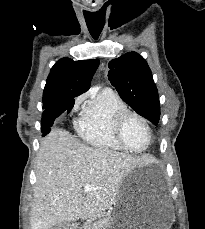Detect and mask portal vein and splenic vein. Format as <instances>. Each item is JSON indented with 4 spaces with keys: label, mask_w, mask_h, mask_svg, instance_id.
<instances>
[{
    "label": "portal vein and splenic vein",
    "mask_w": 205,
    "mask_h": 229,
    "mask_svg": "<svg viewBox=\"0 0 205 229\" xmlns=\"http://www.w3.org/2000/svg\"><path fill=\"white\" fill-rule=\"evenodd\" d=\"M98 188L97 187H95V186H92V185H90V184H86V185H84V192H90V191H92V190H97Z\"/></svg>",
    "instance_id": "portal-vein-and-splenic-vein-1"
}]
</instances>
